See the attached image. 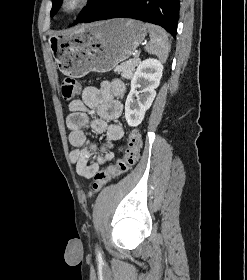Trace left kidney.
I'll list each match as a JSON object with an SVG mask.
<instances>
[{"instance_id":"5707ae66","label":"left kidney","mask_w":247,"mask_h":280,"mask_svg":"<svg viewBox=\"0 0 247 280\" xmlns=\"http://www.w3.org/2000/svg\"><path fill=\"white\" fill-rule=\"evenodd\" d=\"M163 64L156 59H146L137 67L131 80V91L125 102V118L129 126L136 127L144 119L156 96Z\"/></svg>"}]
</instances>
